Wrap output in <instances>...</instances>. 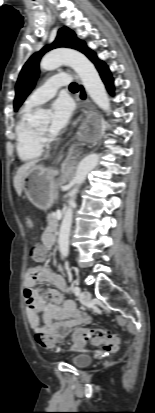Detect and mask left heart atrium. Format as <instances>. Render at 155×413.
I'll return each mask as SVG.
<instances>
[{
    "instance_id": "obj_1",
    "label": "left heart atrium",
    "mask_w": 155,
    "mask_h": 413,
    "mask_svg": "<svg viewBox=\"0 0 155 413\" xmlns=\"http://www.w3.org/2000/svg\"><path fill=\"white\" fill-rule=\"evenodd\" d=\"M73 113L71 102L61 97L55 100L51 106V122L49 133L51 135L59 134L69 123Z\"/></svg>"
}]
</instances>
